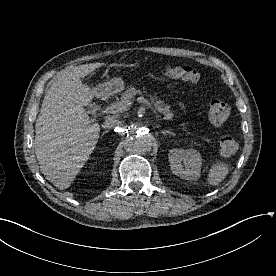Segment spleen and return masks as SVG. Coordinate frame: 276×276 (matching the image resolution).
<instances>
[{"mask_svg":"<svg viewBox=\"0 0 276 276\" xmlns=\"http://www.w3.org/2000/svg\"><path fill=\"white\" fill-rule=\"evenodd\" d=\"M230 166L228 163H216L209 170L207 182L211 186H216L222 182L229 173Z\"/></svg>","mask_w":276,"mask_h":276,"instance_id":"1","label":"spleen"}]
</instances>
